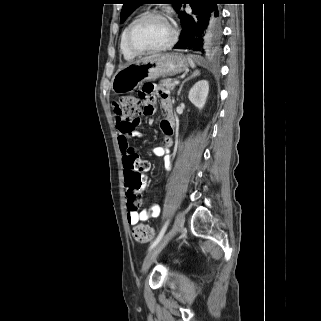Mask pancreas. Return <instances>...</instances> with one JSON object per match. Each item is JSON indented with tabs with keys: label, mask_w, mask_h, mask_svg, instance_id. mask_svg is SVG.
<instances>
[{
	"label": "pancreas",
	"mask_w": 321,
	"mask_h": 321,
	"mask_svg": "<svg viewBox=\"0 0 321 321\" xmlns=\"http://www.w3.org/2000/svg\"><path fill=\"white\" fill-rule=\"evenodd\" d=\"M160 86L165 87L168 90H173L175 88V84L172 79H164L160 81Z\"/></svg>",
	"instance_id": "pancreas-1"
}]
</instances>
